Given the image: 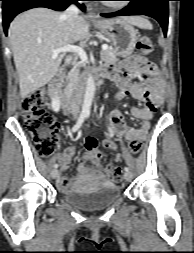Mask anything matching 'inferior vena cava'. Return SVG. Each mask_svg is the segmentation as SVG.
I'll list each match as a JSON object with an SVG mask.
<instances>
[{"label":"inferior vena cava","instance_id":"1","mask_svg":"<svg viewBox=\"0 0 194 253\" xmlns=\"http://www.w3.org/2000/svg\"><path fill=\"white\" fill-rule=\"evenodd\" d=\"M78 14H79L78 7L75 4H71L62 14V18H64L67 21L69 26H73L76 18L78 17ZM71 59H72V57L68 56L66 58V61L70 62ZM71 107H72V113H73L74 117H76L78 114V111H79V107H78V104H77L75 98H73V100H72Z\"/></svg>","mask_w":194,"mask_h":253}]
</instances>
